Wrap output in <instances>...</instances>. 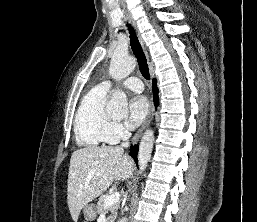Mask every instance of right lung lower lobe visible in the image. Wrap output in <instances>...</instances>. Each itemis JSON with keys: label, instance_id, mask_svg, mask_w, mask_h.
Here are the masks:
<instances>
[{"label": "right lung lower lobe", "instance_id": "obj_1", "mask_svg": "<svg viewBox=\"0 0 257 222\" xmlns=\"http://www.w3.org/2000/svg\"><path fill=\"white\" fill-rule=\"evenodd\" d=\"M153 93H154V102L155 105H158V88L156 86V80H153ZM137 153H138V146H134L131 147L130 149V155L132 156V158L135 160V162L137 163Z\"/></svg>", "mask_w": 257, "mask_h": 222}]
</instances>
